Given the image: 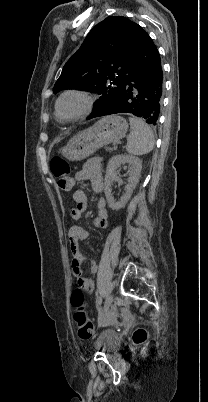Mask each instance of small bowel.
I'll return each instance as SVG.
<instances>
[{
  "label": "small bowel",
  "instance_id": "c3829d8e",
  "mask_svg": "<svg viewBox=\"0 0 208 402\" xmlns=\"http://www.w3.org/2000/svg\"><path fill=\"white\" fill-rule=\"evenodd\" d=\"M75 178L80 182L90 181L93 191L101 193L103 190V173L100 160L98 158L88 160L82 169L76 172ZM73 200L76 203V208L71 211V218L78 220L87 209L86 192L82 189L76 190L73 193ZM108 217L106 202L103 198H100L97 201V216L93 220V225L98 229L106 228L108 226ZM87 235V231L80 226H72L68 231V239L72 247H75L79 240L86 239ZM82 260L81 252L74 248L72 250L73 275L85 291L91 292L94 290V283L83 276L81 269ZM91 270L92 272H97L98 270V265L95 261L91 263Z\"/></svg>",
  "mask_w": 208,
  "mask_h": 402
}]
</instances>
